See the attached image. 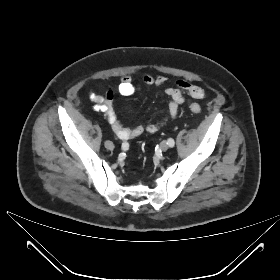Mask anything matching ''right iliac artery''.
Here are the masks:
<instances>
[{
  "label": "right iliac artery",
  "instance_id": "1",
  "mask_svg": "<svg viewBox=\"0 0 280 280\" xmlns=\"http://www.w3.org/2000/svg\"><path fill=\"white\" fill-rule=\"evenodd\" d=\"M122 147H123V148L126 147V144H122Z\"/></svg>",
  "mask_w": 280,
  "mask_h": 280
}]
</instances>
